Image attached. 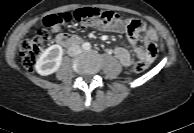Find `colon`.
Here are the masks:
<instances>
[{"mask_svg":"<svg viewBox=\"0 0 194 133\" xmlns=\"http://www.w3.org/2000/svg\"><path fill=\"white\" fill-rule=\"evenodd\" d=\"M74 20L81 27L102 26L110 27L122 21L121 15L94 7H81L71 13H60L44 18V28L37 35L25 40L20 46V56L26 68H32L38 57L50 40L51 33L64 28L70 21ZM154 54H146L139 58V61L131 68L128 73H140L145 71L153 63Z\"/></svg>","mask_w":194,"mask_h":133,"instance_id":"obj_1","label":"colon"}]
</instances>
